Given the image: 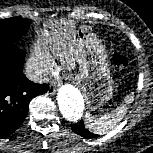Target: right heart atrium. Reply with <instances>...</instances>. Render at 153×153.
<instances>
[{"mask_svg": "<svg viewBox=\"0 0 153 153\" xmlns=\"http://www.w3.org/2000/svg\"><path fill=\"white\" fill-rule=\"evenodd\" d=\"M29 65L39 76L46 75L53 68V63L48 54L38 47L32 50Z\"/></svg>", "mask_w": 153, "mask_h": 153, "instance_id": "right-heart-atrium-1", "label": "right heart atrium"}]
</instances>
